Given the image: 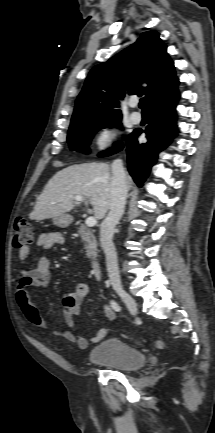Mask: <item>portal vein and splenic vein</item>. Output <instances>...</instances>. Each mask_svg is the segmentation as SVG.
I'll use <instances>...</instances> for the list:
<instances>
[{
	"label": "portal vein and splenic vein",
	"mask_w": 215,
	"mask_h": 433,
	"mask_svg": "<svg viewBox=\"0 0 215 433\" xmlns=\"http://www.w3.org/2000/svg\"><path fill=\"white\" fill-rule=\"evenodd\" d=\"M73 198L78 202H82L84 200L82 196L78 195L74 196ZM85 224L89 227H93L97 224V220L95 217L90 216L86 219Z\"/></svg>",
	"instance_id": "1"
}]
</instances>
